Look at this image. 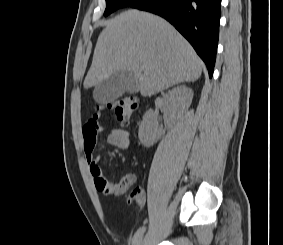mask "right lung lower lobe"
I'll use <instances>...</instances> for the list:
<instances>
[{
  "mask_svg": "<svg viewBox=\"0 0 283 245\" xmlns=\"http://www.w3.org/2000/svg\"><path fill=\"white\" fill-rule=\"evenodd\" d=\"M221 0H140L130 6L162 16L191 43L212 77Z\"/></svg>",
  "mask_w": 283,
  "mask_h": 245,
  "instance_id": "1",
  "label": "right lung lower lobe"
}]
</instances>
